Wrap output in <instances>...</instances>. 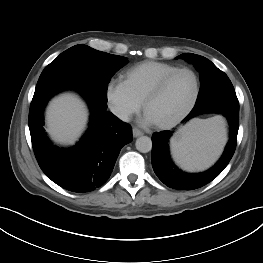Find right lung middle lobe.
I'll use <instances>...</instances> for the list:
<instances>
[{
	"mask_svg": "<svg viewBox=\"0 0 263 263\" xmlns=\"http://www.w3.org/2000/svg\"><path fill=\"white\" fill-rule=\"evenodd\" d=\"M127 58L76 45L61 53L43 70L33 98L64 89L79 88L107 103V87L112 75Z\"/></svg>",
	"mask_w": 263,
	"mask_h": 263,
	"instance_id": "1",
	"label": "right lung middle lobe"
}]
</instances>
